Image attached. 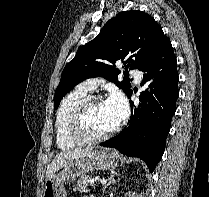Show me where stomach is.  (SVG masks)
I'll return each mask as SVG.
<instances>
[{
  "label": "stomach",
  "instance_id": "0dacf381",
  "mask_svg": "<svg viewBox=\"0 0 209 197\" xmlns=\"http://www.w3.org/2000/svg\"><path fill=\"white\" fill-rule=\"evenodd\" d=\"M117 165L118 155L115 151L96 147L87 156L69 163L46 179L43 197H66L64 183L84 176L89 171L112 170Z\"/></svg>",
  "mask_w": 209,
  "mask_h": 197
}]
</instances>
